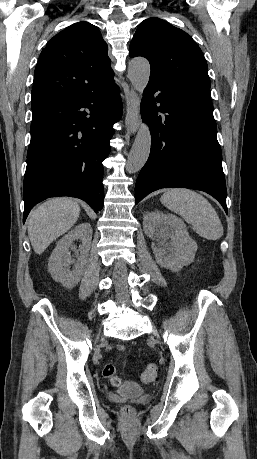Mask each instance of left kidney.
Here are the masks:
<instances>
[{
  "instance_id": "5707ae66",
  "label": "left kidney",
  "mask_w": 257,
  "mask_h": 459,
  "mask_svg": "<svg viewBox=\"0 0 257 459\" xmlns=\"http://www.w3.org/2000/svg\"><path fill=\"white\" fill-rule=\"evenodd\" d=\"M143 229L148 237L158 238L159 244H153L152 249L162 267L178 272L194 261L197 244L179 217L153 211L144 216ZM168 239L171 242L163 246Z\"/></svg>"
}]
</instances>
